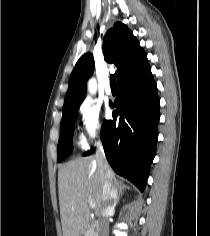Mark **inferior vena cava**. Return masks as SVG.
<instances>
[{
    "mask_svg": "<svg viewBox=\"0 0 210 236\" xmlns=\"http://www.w3.org/2000/svg\"><path fill=\"white\" fill-rule=\"evenodd\" d=\"M96 162L102 173L103 192L102 206L99 216V236H108L109 222L108 217L113 215L117 200V188L112 183V174L110 172L102 144L99 142L96 151Z\"/></svg>",
    "mask_w": 210,
    "mask_h": 236,
    "instance_id": "obj_1",
    "label": "inferior vena cava"
}]
</instances>
